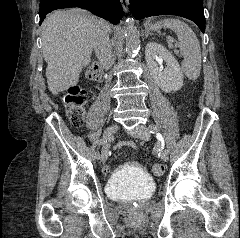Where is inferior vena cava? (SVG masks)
I'll return each instance as SVG.
<instances>
[{
	"mask_svg": "<svg viewBox=\"0 0 240 238\" xmlns=\"http://www.w3.org/2000/svg\"><path fill=\"white\" fill-rule=\"evenodd\" d=\"M93 47L103 68L109 69L113 61L112 45L109 39V28L99 24L92 36Z\"/></svg>",
	"mask_w": 240,
	"mask_h": 238,
	"instance_id": "inferior-vena-cava-1",
	"label": "inferior vena cava"
}]
</instances>
